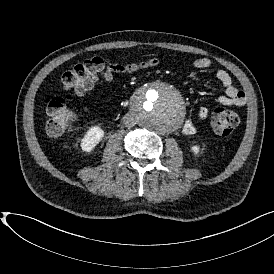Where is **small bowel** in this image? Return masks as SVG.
<instances>
[{"label": "small bowel", "mask_w": 274, "mask_h": 274, "mask_svg": "<svg viewBox=\"0 0 274 274\" xmlns=\"http://www.w3.org/2000/svg\"><path fill=\"white\" fill-rule=\"evenodd\" d=\"M160 59L158 57H151L141 62L123 63L111 65L104 68L100 72V78L96 77L89 81L87 84L78 86L75 88L74 93L76 96L81 97L84 93L91 89L92 86L99 88L102 86L103 81L109 85L113 86L116 80V75H128L138 72L140 70L149 69L158 66ZM193 67L198 70H208L212 67V61L208 58L201 57L193 61ZM216 78L220 81L224 88V95H221L217 99V103L222 106H243L247 101L246 93L235 86L230 74L223 70L217 69L215 71ZM103 80V81H102ZM209 114V109L207 107H202L197 112L196 118L199 121H203L207 118ZM197 131L196 122L193 119H187L183 125L182 132L191 136Z\"/></svg>", "instance_id": "1"}]
</instances>
